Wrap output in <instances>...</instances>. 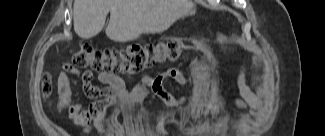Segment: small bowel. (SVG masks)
<instances>
[{
  "label": "small bowel",
  "mask_w": 325,
  "mask_h": 136,
  "mask_svg": "<svg viewBox=\"0 0 325 136\" xmlns=\"http://www.w3.org/2000/svg\"><path fill=\"white\" fill-rule=\"evenodd\" d=\"M98 80L109 86V89L100 91L92 84L93 73L90 70L81 71L75 68L71 63H65L63 70L57 79L58 91L57 97L64 98L60 106L67 109L69 117L87 133L92 130H98L107 133V108L115 103L134 104L138 102L147 92L148 88L168 106L181 107L187 103V97H176L164 87L166 80H174L178 84H186L192 77L181 70L171 68L166 72L155 77L146 75L141 84L134 90H128L123 80L112 73L99 72ZM257 81V80H256ZM81 83L85 95L89 98H96L99 95H105V99L87 107L76 92V85ZM237 88L240 98L236 100L238 106H248L257 110L261 105L262 89L258 82H255V88L248 84L247 65L242 66L237 75ZM93 119V123L91 120Z\"/></svg>",
  "instance_id": "c3829d8e"
}]
</instances>
